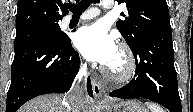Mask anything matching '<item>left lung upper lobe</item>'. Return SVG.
Returning <instances> with one entry per match:
<instances>
[{"label": "left lung upper lobe", "mask_w": 193, "mask_h": 112, "mask_svg": "<svg viewBox=\"0 0 193 112\" xmlns=\"http://www.w3.org/2000/svg\"><path fill=\"white\" fill-rule=\"evenodd\" d=\"M125 3L128 16L119 20L116 26L131 49H135L147 36L161 31L171 30L166 0H118Z\"/></svg>", "instance_id": "5c2ea615"}]
</instances>
